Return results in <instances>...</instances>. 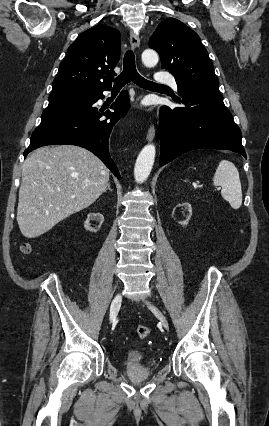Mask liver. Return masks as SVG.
Here are the masks:
<instances>
[{
    "mask_svg": "<svg viewBox=\"0 0 269 426\" xmlns=\"http://www.w3.org/2000/svg\"><path fill=\"white\" fill-rule=\"evenodd\" d=\"M109 170L90 151L74 145L41 147L22 167L17 222L26 238H36L105 192Z\"/></svg>",
    "mask_w": 269,
    "mask_h": 426,
    "instance_id": "6515ba94",
    "label": "liver"
}]
</instances>
